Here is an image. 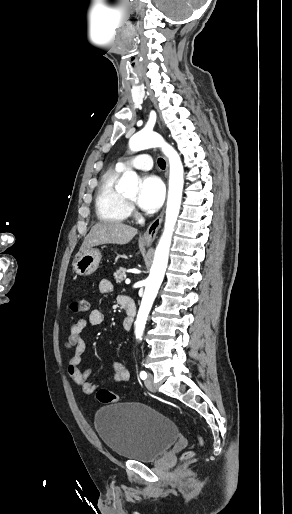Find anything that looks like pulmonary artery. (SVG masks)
<instances>
[{"instance_id":"1","label":"pulmonary artery","mask_w":292,"mask_h":514,"mask_svg":"<svg viewBox=\"0 0 292 514\" xmlns=\"http://www.w3.org/2000/svg\"><path fill=\"white\" fill-rule=\"evenodd\" d=\"M137 161L134 164V169L137 172H150L153 169V164L150 162V153L148 151H138L133 155Z\"/></svg>"}]
</instances>
